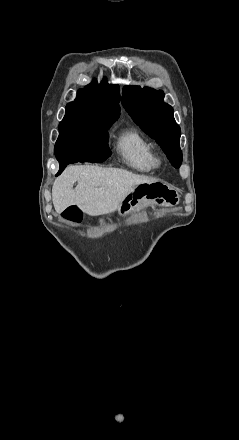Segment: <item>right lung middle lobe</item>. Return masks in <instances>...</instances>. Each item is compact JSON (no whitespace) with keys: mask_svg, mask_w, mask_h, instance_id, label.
<instances>
[{"mask_svg":"<svg viewBox=\"0 0 239 440\" xmlns=\"http://www.w3.org/2000/svg\"><path fill=\"white\" fill-rule=\"evenodd\" d=\"M113 122L104 118L65 114L59 124L60 135L55 144V154L79 146L108 147L107 130Z\"/></svg>","mask_w":239,"mask_h":440,"instance_id":"1","label":"right lung middle lobe"}]
</instances>
